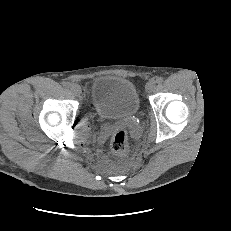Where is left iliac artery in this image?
I'll list each match as a JSON object with an SVG mask.
<instances>
[{
    "label": "left iliac artery",
    "instance_id": "44dca946",
    "mask_svg": "<svg viewBox=\"0 0 231 231\" xmlns=\"http://www.w3.org/2000/svg\"><path fill=\"white\" fill-rule=\"evenodd\" d=\"M163 82V78L162 77H157L156 78V83L161 84Z\"/></svg>",
    "mask_w": 231,
    "mask_h": 231
}]
</instances>
